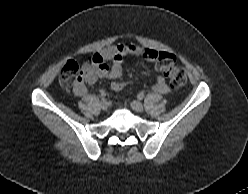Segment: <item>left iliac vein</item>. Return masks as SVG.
I'll list each match as a JSON object with an SVG mask.
<instances>
[{"mask_svg": "<svg viewBox=\"0 0 248 194\" xmlns=\"http://www.w3.org/2000/svg\"><path fill=\"white\" fill-rule=\"evenodd\" d=\"M131 108L136 112H141L143 110V105L139 101H133L131 102Z\"/></svg>", "mask_w": 248, "mask_h": 194, "instance_id": "4c4485c4", "label": "left iliac vein"}]
</instances>
